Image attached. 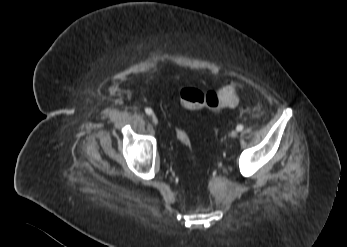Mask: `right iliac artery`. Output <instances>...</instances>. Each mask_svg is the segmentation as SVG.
I'll use <instances>...</instances> for the list:
<instances>
[{"mask_svg":"<svg viewBox=\"0 0 347 247\" xmlns=\"http://www.w3.org/2000/svg\"><path fill=\"white\" fill-rule=\"evenodd\" d=\"M146 114L151 115L153 113L152 109L146 108L145 109Z\"/></svg>","mask_w":347,"mask_h":247,"instance_id":"right-iliac-artery-1","label":"right iliac artery"}]
</instances>
